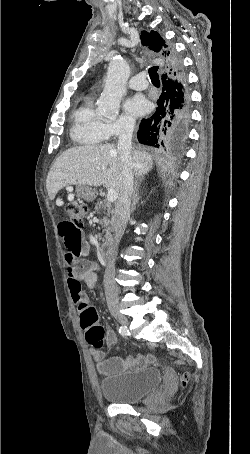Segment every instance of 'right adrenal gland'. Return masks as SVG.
<instances>
[{
    "mask_svg": "<svg viewBox=\"0 0 250 454\" xmlns=\"http://www.w3.org/2000/svg\"><path fill=\"white\" fill-rule=\"evenodd\" d=\"M142 180H136L133 188V198H132V206H131V212L135 210L136 204L139 202L140 196H139V184Z\"/></svg>",
    "mask_w": 250,
    "mask_h": 454,
    "instance_id": "obj_1",
    "label": "right adrenal gland"
}]
</instances>
